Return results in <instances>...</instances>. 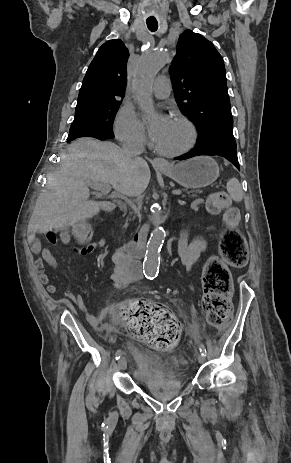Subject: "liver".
Here are the masks:
<instances>
[{
  "label": "liver",
  "instance_id": "obj_1",
  "mask_svg": "<svg viewBox=\"0 0 291 463\" xmlns=\"http://www.w3.org/2000/svg\"><path fill=\"white\" fill-rule=\"evenodd\" d=\"M150 177L144 159H132L111 142L80 138L61 155L58 170L36 201L28 229L32 233L68 229L97 215L100 204L89 200L92 183L108 184L115 192L134 197L145 191Z\"/></svg>",
  "mask_w": 291,
  "mask_h": 463
}]
</instances>
